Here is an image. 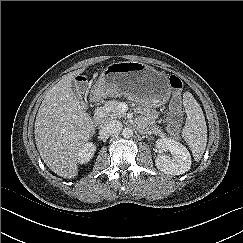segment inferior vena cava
I'll return each mask as SVG.
<instances>
[{
  "mask_svg": "<svg viewBox=\"0 0 243 243\" xmlns=\"http://www.w3.org/2000/svg\"><path fill=\"white\" fill-rule=\"evenodd\" d=\"M122 123L119 120L108 121L102 128L103 133L110 136L118 135L122 130Z\"/></svg>",
  "mask_w": 243,
  "mask_h": 243,
  "instance_id": "inferior-vena-cava-1",
  "label": "inferior vena cava"
}]
</instances>
